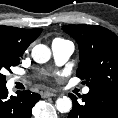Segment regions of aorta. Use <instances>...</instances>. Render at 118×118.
Instances as JSON below:
<instances>
[{
    "instance_id": "1",
    "label": "aorta",
    "mask_w": 118,
    "mask_h": 118,
    "mask_svg": "<svg viewBox=\"0 0 118 118\" xmlns=\"http://www.w3.org/2000/svg\"><path fill=\"white\" fill-rule=\"evenodd\" d=\"M51 50L44 44H38L32 49V58L35 62L43 64L49 61ZM56 109L60 113H67L72 109V101L69 97L58 98L56 100Z\"/></svg>"
}]
</instances>
